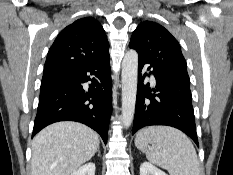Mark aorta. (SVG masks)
Returning <instances> with one entry per match:
<instances>
[{
	"label": "aorta",
	"mask_w": 233,
	"mask_h": 175,
	"mask_svg": "<svg viewBox=\"0 0 233 175\" xmlns=\"http://www.w3.org/2000/svg\"><path fill=\"white\" fill-rule=\"evenodd\" d=\"M122 123L128 128L134 118L137 94L138 54L130 49L122 62Z\"/></svg>",
	"instance_id": "aorta-1"
}]
</instances>
